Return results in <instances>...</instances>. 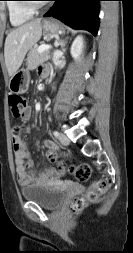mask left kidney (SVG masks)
<instances>
[{
  "mask_svg": "<svg viewBox=\"0 0 133 253\" xmlns=\"http://www.w3.org/2000/svg\"><path fill=\"white\" fill-rule=\"evenodd\" d=\"M84 50V39L82 36H77L71 46V55L75 61H81V56Z\"/></svg>",
  "mask_w": 133,
  "mask_h": 253,
  "instance_id": "left-kidney-1",
  "label": "left kidney"
}]
</instances>
